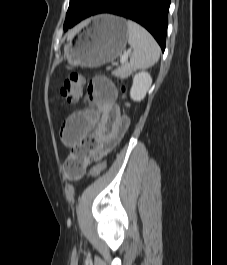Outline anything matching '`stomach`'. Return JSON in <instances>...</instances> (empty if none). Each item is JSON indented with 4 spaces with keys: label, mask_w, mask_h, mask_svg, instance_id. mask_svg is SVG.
Returning <instances> with one entry per match:
<instances>
[{
    "label": "stomach",
    "mask_w": 227,
    "mask_h": 265,
    "mask_svg": "<svg viewBox=\"0 0 227 265\" xmlns=\"http://www.w3.org/2000/svg\"><path fill=\"white\" fill-rule=\"evenodd\" d=\"M128 40V28L123 18L101 14L78 34L74 43L64 47L69 66L99 67L122 54Z\"/></svg>",
    "instance_id": "obj_1"
}]
</instances>
